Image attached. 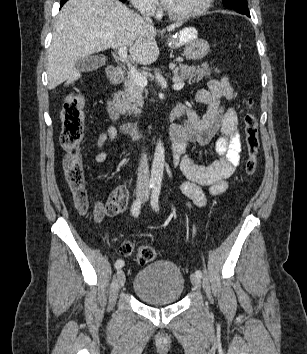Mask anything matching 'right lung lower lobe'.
Instances as JSON below:
<instances>
[{
	"label": "right lung lower lobe",
	"instance_id": "right-lung-lower-lobe-1",
	"mask_svg": "<svg viewBox=\"0 0 307 354\" xmlns=\"http://www.w3.org/2000/svg\"><path fill=\"white\" fill-rule=\"evenodd\" d=\"M67 0H61L60 6L62 7Z\"/></svg>",
	"mask_w": 307,
	"mask_h": 354
}]
</instances>
